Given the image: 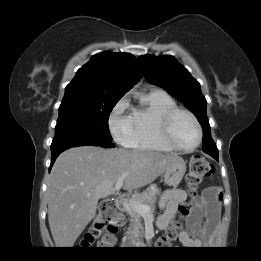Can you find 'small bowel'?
<instances>
[{"instance_id":"c3829d8e","label":"small bowel","mask_w":261,"mask_h":261,"mask_svg":"<svg viewBox=\"0 0 261 261\" xmlns=\"http://www.w3.org/2000/svg\"><path fill=\"white\" fill-rule=\"evenodd\" d=\"M186 198V193L182 189H169L163 192L160 198L163 213L158 217L156 223L159 229L165 230L172 224L180 204ZM221 199L222 194L217 187H208L201 197L193 201L188 222L196 236H190L186 230H180L179 240L184 247L195 249L204 246L206 228L216 230L218 227Z\"/></svg>"}]
</instances>
